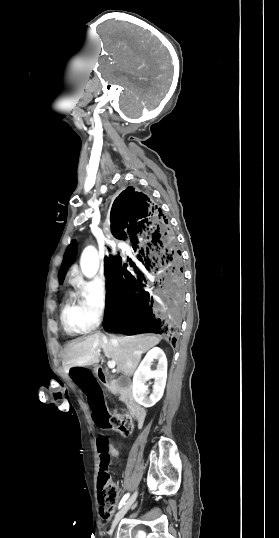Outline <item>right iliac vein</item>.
I'll return each instance as SVG.
<instances>
[{"mask_svg": "<svg viewBox=\"0 0 279 538\" xmlns=\"http://www.w3.org/2000/svg\"><path fill=\"white\" fill-rule=\"evenodd\" d=\"M137 492H135L129 499L128 501L124 504V506L121 508V510L116 514L113 522H112V525H111V529H110V535H112L115 527L117 526V524L119 523V521L124 517V515L127 513V511L130 509V507L132 506V504L135 502L136 498H137Z\"/></svg>", "mask_w": 279, "mask_h": 538, "instance_id": "right-iliac-vein-1", "label": "right iliac vein"}]
</instances>
